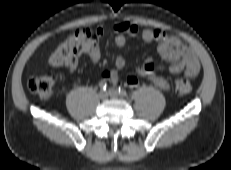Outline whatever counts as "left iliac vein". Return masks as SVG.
<instances>
[{
	"label": "left iliac vein",
	"mask_w": 231,
	"mask_h": 170,
	"mask_svg": "<svg viewBox=\"0 0 231 170\" xmlns=\"http://www.w3.org/2000/svg\"><path fill=\"white\" fill-rule=\"evenodd\" d=\"M108 94L109 96L113 97V98H118L120 96L118 90L114 89V88H110L108 90Z\"/></svg>",
	"instance_id": "obj_1"
}]
</instances>
